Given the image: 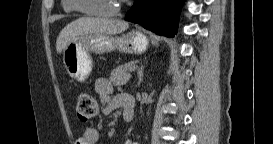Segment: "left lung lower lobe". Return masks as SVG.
Instances as JSON below:
<instances>
[{
  "instance_id": "obj_1",
  "label": "left lung lower lobe",
  "mask_w": 273,
  "mask_h": 144,
  "mask_svg": "<svg viewBox=\"0 0 273 144\" xmlns=\"http://www.w3.org/2000/svg\"><path fill=\"white\" fill-rule=\"evenodd\" d=\"M184 0H136L125 20L167 37H174Z\"/></svg>"
}]
</instances>
